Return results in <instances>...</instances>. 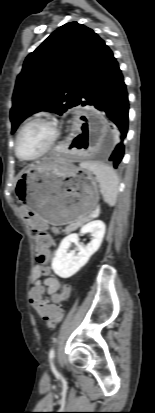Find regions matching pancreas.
Listing matches in <instances>:
<instances>
[{
	"label": "pancreas",
	"mask_w": 155,
	"mask_h": 413,
	"mask_svg": "<svg viewBox=\"0 0 155 413\" xmlns=\"http://www.w3.org/2000/svg\"><path fill=\"white\" fill-rule=\"evenodd\" d=\"M84 221H79V222H75V223H71L70 225H68L65 228V232H70L73 231L75 229H77L78 227H80L83 224Z\"/></svg>",
	"instance_id": "pancreas-1"
}]
</instances>
